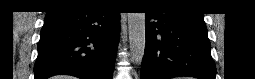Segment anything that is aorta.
Masks as SVG:
<instances>
[{
	"label": "aorta",
	"mask_w": 255,
	"mask_h": 79,
	"mask_svg": "<svg viewBox=\"0 0 255 79\" xmlns=\"http://www.w3.org/2000/svg\"><path fill=\"white\" fill-rule=\"evenodd\" d=\"M128 32L131 61L140 65L146 44L145 13H128Z\"/></svg>",
	"instance_id": "obj_1"
}]
</instances>
